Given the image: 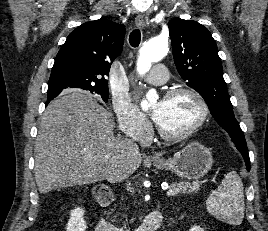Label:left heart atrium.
<instances>
[{
  "instance_id": "1",
  "label": "left heart atrium",
  "mask_w": 268,
  "mask_h": 231,
  "mask_svg": "<svg viewBox=\"0 0 268 231\" xmlns=\"http://www.w3.org/2000/svg\"><path fill=\"white\" fill-rule=\"evenodd\" d=\"M152 116H153L154 119L157 118V112L155 110H153Z\"/></svg>"
}]
</instances>
